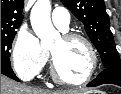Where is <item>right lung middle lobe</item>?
Masks as SVG:
<instances>
[{"instance_id":"1","label":"right lung middle lobe","mask_w":121,"mask_h":94,"mask_svg":"<svg viewBox=\"0 0 121 94\" xmlns=\"http://www.w3.org/2000/svg\"><path fill=\"white\" fill-rule=\"evenodd\" d=\"M16 31L9 33H1V66L10 67V52Z\"/></svg>"}]
</instances>
